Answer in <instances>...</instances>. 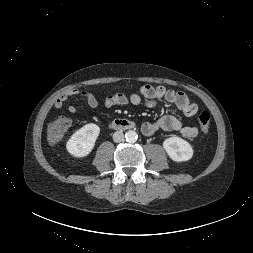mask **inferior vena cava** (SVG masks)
Segmentation results:
<instances>
[{
  "mask_svg": "<svg viewBox=\"0 0 253 253\" xmlns=\"http://www.w3.org/2000/svg\"><path fill=\"white\" fill-rule=\"evenodd\" d=\"M124 140V134L121 131H116L113 134V141L114 142H122Z\"/></svg>",
  "mask_w": 253,
  "mask_h": 253,
  "instance_id": "obj_1",
  "label": "inferior vena cava"
}]
</instances>
